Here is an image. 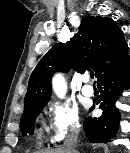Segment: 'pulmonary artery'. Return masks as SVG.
<instances>
[{
    "mask_svg": "<svg viewBox=\"0 0 130 153\" xmlns=\"http://www.w3.org/2000/svg\"><path fill=\"white\" fill-rule=\"evenodd\" d=\"M84 81L86 82V83H88L89 82V78L88 77H86L85 79H84ZM82 94L84 95V96H86V97H91V96H93V94H94V90H93V88L90 86V85H84L83 87H82Z\"/></svg>",
    "mask_w": 130,
    "mask_h": 153,
    "instance_id": "pulmonary-artery-1",
    "label": "pulmonary artery"
}]
</instances>
